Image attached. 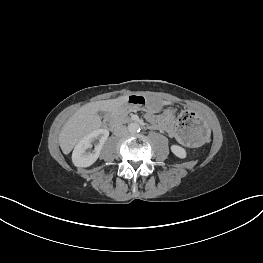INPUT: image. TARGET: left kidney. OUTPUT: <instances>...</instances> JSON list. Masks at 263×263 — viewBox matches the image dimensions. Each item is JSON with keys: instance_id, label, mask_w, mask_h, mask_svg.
Masks as SVG:
<instances>
[{"instance_id": "obj_1", "label": "left kidney", "mask_w": 263, "mask_h": 263, "mask_svg": "<svg viewBox=\"0 0 263 263\" xmlns=\"http://www.w3.org/2000/svg\"><path fill=\"white\" fill-rule=\"evenodd\" d=\"M171 151L173 152V154L175 156H177L178 158H181V159H184L187 156L186 150L179 145H172Z\"/></svg>"}]
</instances>
